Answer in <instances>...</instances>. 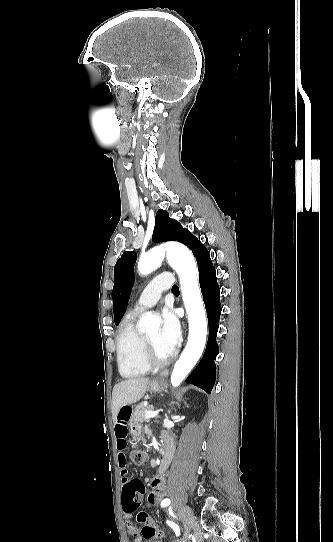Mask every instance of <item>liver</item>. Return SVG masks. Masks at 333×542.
<instances>
[{"label":"liver","instance_id":"1","mask_svg":"<svg viewBox=\"0 0 333 542\" xmlns=\"http://www.w3.org/2000/svg\"><path fill=\"white\" fill-rule=\"evenodd\" d=\"M150 378H128L124 382H119L113 388L112 392V420L115 424L120 408L135 404L143 398Z\"/></svg>","mask_w":333,"mask_h":542}]
</instances>
